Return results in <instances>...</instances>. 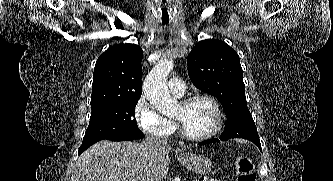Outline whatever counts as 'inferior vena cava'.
<instances>
[{"instance_id": "1", "label": "inferior vena cava", "mask_w": 333, "mask_h": 181, "mask_svg": "<svg viewBox=\"0 0 333 181\" xmlns=\"http://www.w3.org/2000/svg\"><path fill=\"white\" fill-rule=\"evenodd\" d=\"M145 146L154 153L169 147L164 139L157 136H147ZM156 181H158V179H156Z\"/></svg>"}]
</instances>
